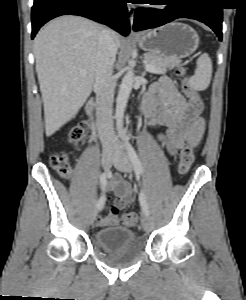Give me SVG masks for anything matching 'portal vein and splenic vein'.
I'll list each match as a JSON object with an SVG mask.
<instances>
[{"mask_svg": "<svg viewBox=\"0 0 246 300\" xmlns=\"http://www.w3.org/2000/svg\"><path fill=\"white\" fill-rule=\"evenodd\" d=\"M145 68H146V70H147L148 72L156 73V74H161V72L158 71V70H157L154 66H152V65L146 64ZM81 74H85V72H81Z\"/></svg>", "mask_w": 246, "mask_h": 300, "instance_id": "18ae733b", "label": "portal vein and splenic vein"}]
</instances>
